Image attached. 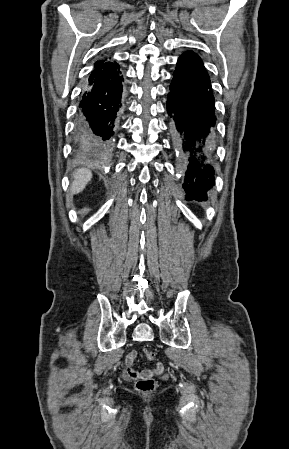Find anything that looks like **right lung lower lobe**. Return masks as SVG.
Masks as SVG:
<instances>
[{"instance_id": "1", "label": "right lung lower lobe", "mask_w": 289, "mask_h": 449, "mask_svg": "<svg viewBox=\"0 0 289 449\" xmlns=\"http://www.w3.org/2000/svg\"><path fill=\"white\" fill-rule=\"evenodd\" d=\"M120 66L95 67L79 104L77 129L81 137L97 148L109 150L121 108L123 77Z\"/></svg>"}]
</instances>
